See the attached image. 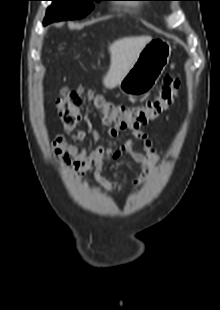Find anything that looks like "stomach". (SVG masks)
I'll return each instance as SVG.
<instances>
[{"mask_svg": "<svg viewBox=\"0 0 220 310\" xmlns=\"http://www.w3.org/2000/svg\"><path fill=\"white\" fill-rule=\"evenodd\" d=\"M170 55L171 46L168 41L161 38L151 39L119 82L120 91L131 98L147 95L168 65Z\"/></svg>", "mask_w": 220, "mask_h": 310, "instance_id": "obj_1", "label": "stomach"}]
</instances>
